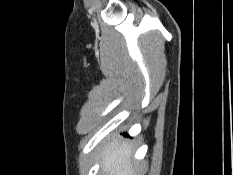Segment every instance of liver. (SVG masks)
I'll return each mask as SVG.
<instances>
[{
	"label": "liver",
	"mask_w": 233,
	"mask_h": 175,
	"mask_svg": "<svg viewBox=\"0 0 233 175\" xmlns=\"http://www.w3.org/2000/svg\"><path fill=\"white\" fill-rule=\"evenodd\" d=\"M132 148L122 140L111 142L101 153L102 168L107 175H133Z\"/></svg>",
	"instance_id": "obj_1"
}]
</instances>
